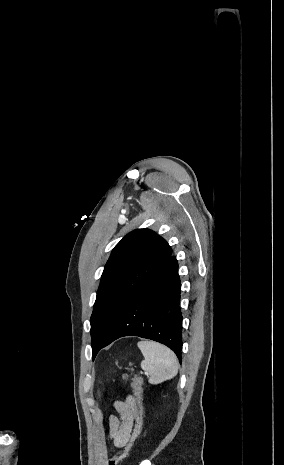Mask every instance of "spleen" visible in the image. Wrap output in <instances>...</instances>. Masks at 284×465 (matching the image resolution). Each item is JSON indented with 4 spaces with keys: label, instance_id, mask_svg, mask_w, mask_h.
<instances>
[{
    "label": "spleen",
    "instance_id": "spleen-1",
    "mask_svg": "<svg viewBox=\"0 0 284 465\" xmlns=\"http://www.w3.org/2000/svg\"><path fill=\"white\" fill-rule=\"evenodd\" d=\"M137 345L144 357L141 369L149 373L148 383L159 385V383H164V381L176 377L178 363L173 351H170L164 345H160V343L148 341V339H142Z\"/></svg>",
    "mask_w": 284,
    "mask_h": 465
}]
</instances>
